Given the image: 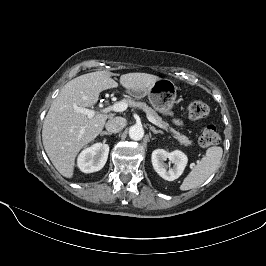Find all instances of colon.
<instances>
[{"instance_id": "5ec220e1", "label": "colon", "mask_w": 266, "mask_h": 266, "mask_svg": "<svg viewBox=\"0 0 266 266\" xmlns=\"http://www.w3.org/2000/svg\"><path fill=\"white\" fill-rule=\"evenodd\" d=\"M187 116L192 120H200L205 118L209 113L208 106L200 101L194 100L188 103L186 108ZM220 135L215 126L209 125L205 127L199 137V144L203 148H210L218 145Z\"/></svg>"}]
</instances>
